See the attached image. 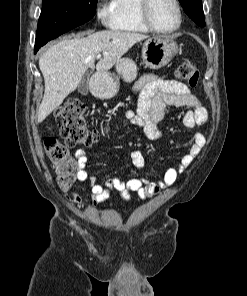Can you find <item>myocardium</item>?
I'll list each match as a JSON object with an SVG mask.
<instances>
[{
  "label": "myocardium",
  "instance_id": "f54148a6",
  "mask_svg": "<svg viewBox=\"0 0 247 296\" xmlns=\"http://www.w3.org/2000/svg\"><path fill=\"white\" fill-rule=\"evenodd\" d=\"M171 1L173 2L177 11V23L171 29H160L154 25L151 19L150 9H151L152 0H140V17L143 23L146 25V27L150 31L159 33V34H171L180 28L183 21L182 8L178 0H171Z\"/></svg>",
  "mask_w": 247,
  "mask_h": 296
}]
</instances>
